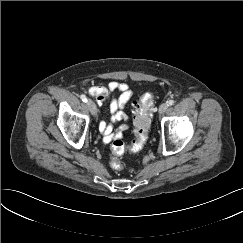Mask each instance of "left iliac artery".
Masks as SVG:
<instances>
[{
  "label": "left iliac artery",
  "instance_id": "left-iliac-artery-1",
  "mask_svg": "<svg viewBox=\"0 0 243 243\" xmlns=\"http://www.w3.org/2000/svg\"><path fill=\"white\" fill-rule=\"evenodd\" d=\"M174 103H175L174 100H169V101H167L168 106H171V105H173Z\"/></svg>",
  "mask_w": 243,
  "mask_h": 243
}]
</instances>
